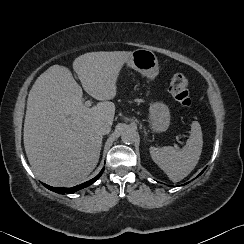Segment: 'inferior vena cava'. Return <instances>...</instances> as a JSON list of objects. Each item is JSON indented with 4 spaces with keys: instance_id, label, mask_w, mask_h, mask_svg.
<instances>
[{
    "instance_id": "602c4592",
    "label": "inferior vena cava",
    "mask_w": 244,
    "mask_h": 244,
    "mask_svg": "<svg viewBox=\"0 0 244 244\" xmlns=\"http://www.w3.org/2000/svg\"><path fill=\"white\" fill-rule=\"evenodd\" d=\"M97 129L102 135H106L111 131V124L107 121H102L98 124Z\"/></svg>"
}]
</instances>
